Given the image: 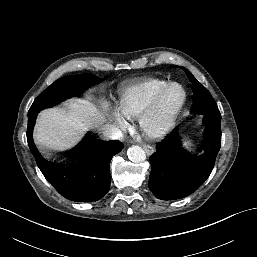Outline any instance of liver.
Here are the masks:
<instances>
[{"instance_id":"1","label":"liver","mask_w":257,"mask_h":257,"mask_svg":"<svg viewBox=\"0 0 257 257\" xmlns=\"http://www.w3.org/2000/svg\"><path fill=\"white\" fill-rule=\"evenodd\" d=\"M65 106L39 114L34 136L41 146L51 150L70 148L98 115L96 108L83 99H70Z\"/></svg>"}]
</instances>
